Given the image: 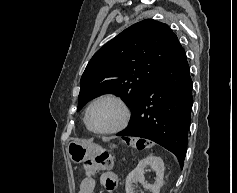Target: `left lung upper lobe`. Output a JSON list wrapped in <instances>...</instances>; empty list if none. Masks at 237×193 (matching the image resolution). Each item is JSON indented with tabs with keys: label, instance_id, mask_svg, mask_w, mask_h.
I'll return each instance as SVG.
<instances>
[{
	"label": "left lung upper lobe",
	"instance_id": "1",
	"mask_svg": "<svg viewBox=\"0 0 237 193\" xmlns=\"http://www.w3.org/2000/svg\"><path fill=\"white\" fill-rule=\"evenodd\" d=\"M179 46L169 26L152 19L125 29L89 61L77 110L101 94L115 93L133 109V118L148 87Z\"/></svg>",
	"mask_w": 237,
	"mask_h": 193
}]
</instances>
